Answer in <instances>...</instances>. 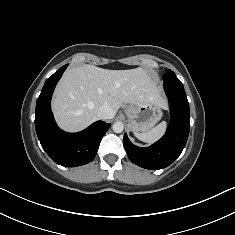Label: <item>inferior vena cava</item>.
<instances>
[{"label":"inferior vena cava","instance_id":"1","mask_svg":"<svg viewBox=\"0 0 235 235\" xmlns=\"http://www.w3.org/2000/svg\"><path fill=\"white\" fill-rule=\"evenodd\" d=\"M115 115L113 109L108 105H102L98 109V117L99 119H111Z\"/></svg>","mask_w":235,"mask_h":235}]
</instances>
